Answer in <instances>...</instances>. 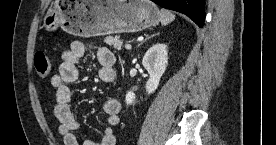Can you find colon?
Returning <instances> with one entry per match:
<instances>
[{
    "instance_id": "1",
    "label": "colon",
    "mask_w": 276,
    "mask_h": 145,
    "mask_svg": "<svg viewBox=\"0 0 276 145\" xmlns=\"http://www.w3.org/2000/svg\"><path fill=\"white\" fill-rule=\"evenodd\" d=\"M34 65L39 78L46 79L49 77L51 71V61L46 53L38 52L35 55Z\"/></svg>"
}]
</instances>
